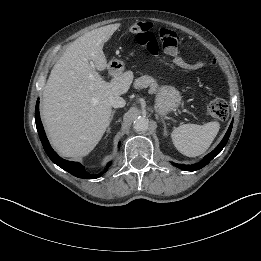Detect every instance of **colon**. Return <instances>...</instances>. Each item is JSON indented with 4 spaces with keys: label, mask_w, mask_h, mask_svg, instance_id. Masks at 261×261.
Instances as JSON below:
<instances>
[{
    "label": "colon",
    "mask_w": 261,
    "mask_h": 261,
    "mask_svg": "<svg viewBox=\"0 0 261 261\" xmlns=\"http://www.w3.org/2000/svg\"><path fill=\"white\" fill-rule=\"evenodd\" d=\"M131 30L135 34V40L139 45L143 46L151 55L158 54L159 44L155 35L151 32L150 24L137 23L132 26ZM159 35L164 50L174 58L179 67L186 70H196L211 64V61L206 60L185 61L179 56L180 40L178 36L166 29L160 30ZM207 112L215 119L225 120L229 115V107L223 98L216 97L209 102Z\"/></svg>",
    "instance_id": "5ec220e1"
}]
</instances>
